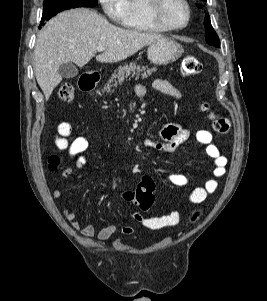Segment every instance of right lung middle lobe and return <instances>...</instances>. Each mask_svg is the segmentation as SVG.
<instances>
[{
  "mask_svg": "<svg viewBox=\"0 0 267 301\" xmlns=\"http://www.w3.org/2000/svg\"><path fill=\"white\" fill-rule=\"evenodd\" d=\"M97 4L98 0H44L40 25L43 26L51 17L61 11L72 8L95 7Z\"/></svg>",
  "mask_w": 267,
  "mask_h": 301,
  "instance_id": "1",
  "label": "right lung middle lobe"
}]
</instances>
